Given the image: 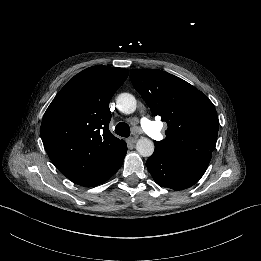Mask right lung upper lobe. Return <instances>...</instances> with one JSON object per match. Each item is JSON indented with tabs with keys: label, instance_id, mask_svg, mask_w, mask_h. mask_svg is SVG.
<instances>
[{
	"label": "right lung upper lobe",
	"instance_id": "obj_1",
	"mask_svg": "<svg viewBox=\"0 0 261 261\" xmlns=\"http://www.w3.org/2000/svg\"><path fill=\"white\" fill-rule=\"evenodd\" d=\"M128 76V70L89 67L75 75L47 108L41 138L58 170L72 182L90 177L127 149L109 131V101Z\"/></svg>",
	"mask_w": 261,
	"mask_h": 261
}]
</instances>
